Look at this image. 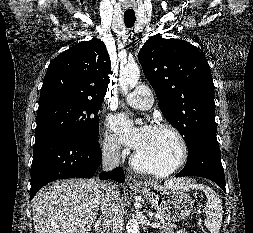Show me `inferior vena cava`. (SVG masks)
I'll return each mask as SVG.
<instances>
[{
  "instance_id": "obj_1",
  "label": "inferior vena cava",
  "mask_w": 253,
  "mask_h": 233,
  "mask_svg": "<svg viewBox=\"0 0 253 233\" xmlns=\"http://www.w3.org/2000/svg\"><path fill=\"white\" fill-rule=\"evenodd\" d=\"M120 147L112 141L103 146L102 168L111 170L119 165ZM100 205L103 214L101 233H123V215L120 205V193L113 183H102Z\"/></svg>"
}]
</instances>
